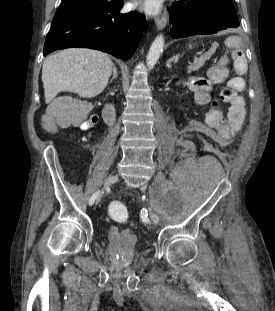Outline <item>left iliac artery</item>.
Instances as JSON below:
<instances>
[{
  "label": "left iliac artery",
  "instance_id": "left-iliac-artery-1",
  "mask_svg": "<svg viewBox=\"0 0 275 311\" xmlns=\"http://www.w3.org/2000/svg\"><path fill=\"white\" fill-rule=\"evenodd\" d=\"M145 212L147 213V210ZM142 218L145 222H148L147 215L144 212L142 213Z\"/></svg>",
  "mask_w": 275,
  "mask_h": 311
}]
</instances>
